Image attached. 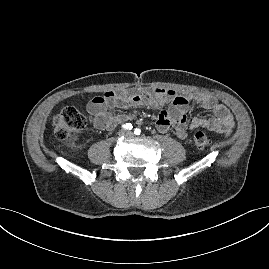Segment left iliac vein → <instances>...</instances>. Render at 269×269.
I'll list each match as a JSON object with an SVG mask.
<instances>
[{
    "label": "left iliac vein",
    "mask_w": 269,
    "mask_h": 269,
    "mask_svg": "<svg viewBox=\"0 0 269 269\" xmlns=\"http://www.w3.org/2000/svg\"><path fill=\"white\" fill-rule=\"evenodd\" d=\"M127 135L132 136L133 134H132V132H127Z\"/></svg>",
    "instance_id": "obj_1"
}]
</instances>
